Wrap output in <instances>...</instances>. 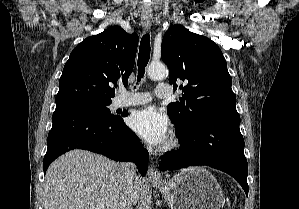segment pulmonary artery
I'll list each match as a JSON object with an SVG mask.
<instances>
[{
  "label": "pulmonary artery",
  "instance_id": "1",
  "mask_svg": "<svg viewBox=\"0 0 299 209\" xmlns=\"http://www.w3.org/2000/svg\"><path fill=\"white\" fill-rule=\"evenodd\" d=\"M172 94L170 85L167 83L160 82L157 84L155 89V96L158 98L169 97ZM152 100V96L144 92H126L118 100L119 107L136 106L148 103Z\"/></svg>",
  "mask_w": 299,
  "mask_h": 209
}]
</instances>
